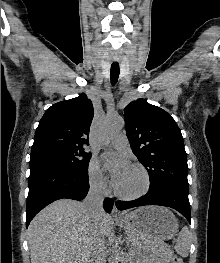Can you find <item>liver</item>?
<instances>
[{"label": "liver", "mask_w": 220, "mask_h": 263, "mask_svg": "<svg viewBox=\"0 0 220 263\" xmlns=\"http://www.w3.org/2000/svg\"><path fill=\"white\" fill-rule=\"evenodd\" d=\"M111 224L105 212L97 220L90 218L84 202L57 200L28 227L31 263H89L95 237L107 236Z\"/></svg>", "instance_id": "liver-1"}]
</instances>
